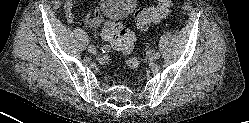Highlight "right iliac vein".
<instances>
[{
  "label": "right iliac vein",
  "mask_w": 249,
  "mask_h": 123,
  "mask_svg": "<svg viewBox=\"0 0 249 123\" xmlns=\"http://www.w3.org/2000/svg\"><path fill=\"white\" fill-rule=\"evenodd\" d=\"M88 52H89L90 54H95V53H96V48H95V46H94V45H90V46L88 47Z\"/></svg>",
  "instance_id": "63e3f726"
}]
</instances>
